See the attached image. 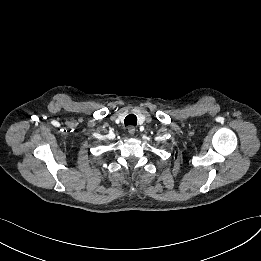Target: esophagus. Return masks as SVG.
I'll return each instance as SVG.
<instances>
[{
	"label": "esophagus",
	"instance_id": "34e87169",
	"mask_svg": "<svg viewBox=\"0 0 261 261\" xmlns=\"http://www.w3.org/2000/svg\"><path fill=\"white\" fill-rule=\"evenodd\" d=\"M137 129L134 126H129L128 127V132L130 135H134Z\"/></svg>",
	"mask_w": 261,
	"mask_h": 261
}]
</instances>
